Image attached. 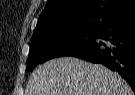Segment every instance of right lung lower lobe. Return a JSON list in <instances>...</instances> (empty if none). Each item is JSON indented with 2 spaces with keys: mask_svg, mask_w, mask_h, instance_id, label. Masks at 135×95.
<instances>
[{
  "mask_svg": "<svg viewBox=\"0 0 135 95\" xmlns=\"http://www.w3.org/2000/svg\"><path fill=\"white\" fill-rule=\"evenodd\" d=\"M72 56L117 71L135 93V15L111 19L95 31L92 43Z\"/></svg>",
  "mask_w": 135,
  "mask_h": 95,
  "instance_id": "right-lung-lower-lobe-1",
  "label": "right lung lower lobe"
}]
</instances>
